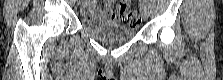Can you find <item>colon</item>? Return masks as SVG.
I'll use <instances>...</instances> for the list:
<instances>
[{"label":"colon","mask_w":223,"mask_h":80,"mask_svg":"<svg viewBox=\"0 0 223 80\" xmlns=\"http://www.w3.org/2000/svg\"><path fill=\"white\" fill-rule=\"evenodd\" d=\"M115 13H117L125 23L130 26H136L141 22L140 13L132 9L128 1H119L115 4Z\"/></svg>","instance_id":"5ec220e1"}]
</instances>
